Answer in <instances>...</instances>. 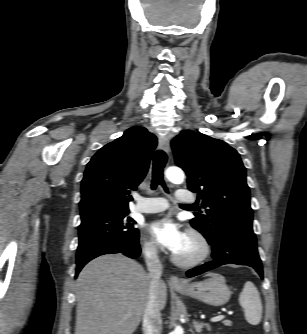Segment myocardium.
I'll return each instance as SVG.
<instances>
[{"mask_svg":"<svg viewBox=\"0 0 307 334\" xmlns=\"http://www.w3.org/2000/svg\"><path fill=\"white\" fill-rule=\"evenodd\" d=\"M186 235L196 241L198 246L197 253L187 258L181 257L177 253H173L171 258L176 265L182 267H192L202 263L208 258L211 252V247L205 235L195 228L187 229Z\"/></svg>","mask_w":307,"mask_h":334,"instance_id":"f54148a6","label":"myocardium"}]
</instances>
